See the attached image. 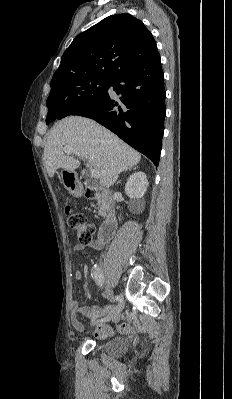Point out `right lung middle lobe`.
Here are the masks:
<instances>
[{
    "mask_svg": "<svg viewBox=\"0 0 232 399\" xmlns=\"http://www.w3.org/2000/svg\"><path fill=\"white\" fill-rule=\"evenodd\" d=\"M109 83L110 79L94 80L78 84L66 92L49 95L46 103V124L57 119L62 113L68 115L76 109L100 102L107 94Z\"/></svg>",
    "mask_w": 232,
    "mask_h": 399,
    "instance_id": "obj_1",
    "label": "right lung middle lobe"
}]
</instances>
